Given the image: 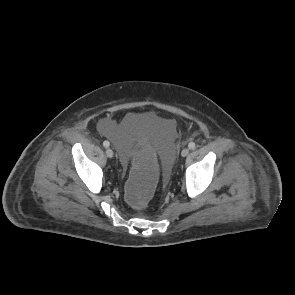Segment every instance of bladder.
Returning a JSON list of instances; mask_svg holds the SVG:
<instances>
[{"mask_svg":"<svg viewBox=\"0 0 295 295\" xmlns=\"http://www.w3.org/2000/svg\"><path fill=\"white\" fill-rule=\"evenodd\" d=\"M100 129L117 143V159L121 168H130L131 146L136 140L145 138L157 147L163 174L167 177L174 174L175 160L169 145L174 133L171 119L155 113H130L118 125H113L108 119L102 120Z\"/></svg>","mask_w":295,"mask_h":295,"instance_id":"31cf9c89","label":"bladder"}]
</instances>
